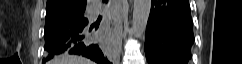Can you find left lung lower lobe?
Wrapping results in <instances>:
<instances>
[{"label": "left lung lower lobe", "mask_w": 242, "mask_h": 64, "mask_svg": "<svg viewBox=\"0 0 242 64\" xmlns=\"http://www.w3.org/2000/svg\"><path fill=\"white\" fill-rule=\"evenodd\" d=\"M194 42L188 0H152L145 34L148 64H188Z\"/></svg>", "instance_id": "obj_1"}]
</instances>
